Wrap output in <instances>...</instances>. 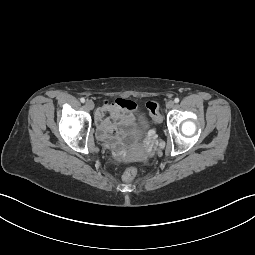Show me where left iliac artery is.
Returning <instances> with one entry per match:
<instances>
[{"label":"left iliac artery","instance_id":"44dca946","mask_svg":"<svg viewBox=\"0 0 255 255\" xmlns=\"http://www.w3.org/2000/svg\"><path fill=\"white\" fill-rule=\"evenodd\" d=\"M174 102H175V103H178V102H179V98H175V99H174Z\"/></svg>","mask_w":255,"mask_h":255}]
</instances>
